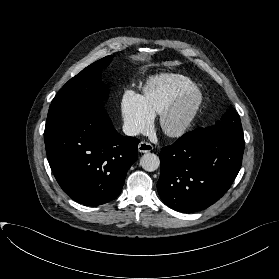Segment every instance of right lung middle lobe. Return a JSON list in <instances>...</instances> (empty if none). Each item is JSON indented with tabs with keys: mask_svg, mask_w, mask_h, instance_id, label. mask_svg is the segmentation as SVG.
Wrapping results in <instances>:
<instances>
[{
	"mask_svg": "<svg viewBox=\"0 0 279 279\" xmlns=\"http://www.w3.org/2000/svg\"><path fill=\"white\" fill-rule=\"evenodd\" d=\"M112 58L109 55L87 66L60 89L49 108L45 130L58 125L84 105L101 103L107 98L108 86L101 81L100 73Z\"/></svg>",
	"mask_w": 279,
	"mask_h": 279,
	"instance_id": "1",
	"label": "right lung middle lobe"
}]
</instances>
